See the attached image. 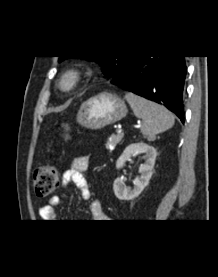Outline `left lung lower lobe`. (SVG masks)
<instances>
[{"instance_id": "1", "label": "left lung lower lobe", "mask_w": 218, "mask_h": 277, "mask_svg": "<svg viewBox=\"0 0 218 277\" xmlns=\"http://www.w3.org/2000/svg\"><path fill=\"white\" fill-rule=\"evenodd\" d=\"M184 57L135 55L111 83L166 106L184 122Z\"/></svg>"}]
</instances>
